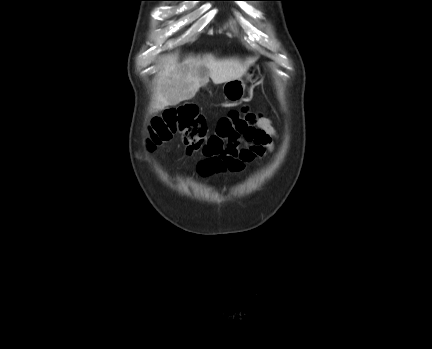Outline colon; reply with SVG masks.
<instances>
[{
    "label": "colon",
    "instance_id": "colon-1",
    "mask_svg": "<svg viewBox=\"0 0 432 349\" xmlns=\"http://www.w3.org/2000/svg\"><path fill=\"white\" fill-rule=\"evenodd\" d=\"M259 116L248 108L231 110L222 116L215 132L207 135L205 117L197 106L185 104L166 110L152 120L148 146H156L180 135L187 153L201 152L205 160L220 167V160L227 155L258 121Z\"/></svg>",
    "mask_w": 432,
    "mask_h": 349
}]
</instances>
